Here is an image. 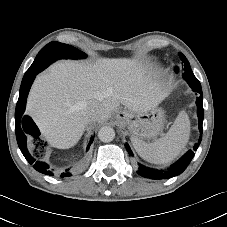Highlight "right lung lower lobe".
<instances>
[{
    "label": "right lung lower lobe",
    "mask_w": 227,
    "mask_h": 227,
    "mask_svg": "<svg viewBox=\"0 0 227 227\" xmlns=\"http://www.w3.org/2000/svg\"><path fill=\"white\" fill-rule=\"evenodd\" d=\"M47 61L44 62L43 65L37 66L27 77L23 78L22 84L20 87V94L19 99L16 105L15 110V129H16V138L18 142V146L26 158V160L33 165L34 169L38 172L46 174V175H53L49 169V165L45 162L35 160L28 152L26 146L27 134H33L35 136L39 135V129L34 124L32 119L24 115L25 107H26V99L30 90V87L35 79V76L43 71L47 66H49L52 62L56 61L58 58L57 56H53L52 54L48 53L46 57ZM93 141V137L91 138L87 150L89 149L91 143ZM71 176L69 172L62 173L61 177Z\"/></svg>",
    "instance_id": "1"
}]
</instances>
